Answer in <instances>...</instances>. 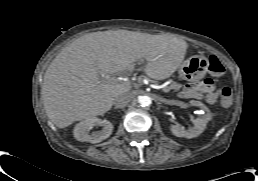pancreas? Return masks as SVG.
<instances>
[{"label":"pancreas","mask_w":258,"mask_h":181,"mask_svg":"<svg viewBox=\"0 0 258 181\" xmlns=\"http://www.w3.org/2000/svg\"><path fill=\"white\" fill-rule=\"evenodd\" d=\"M182 85L176 82H172L167 89L168 90H173L174 92H177L181 89Z\"/></svg>","instance_id":"1"}]
</instances>
